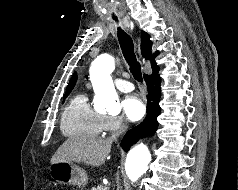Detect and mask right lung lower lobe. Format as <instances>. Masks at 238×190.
<instances>
[{
    "instance_id": "right-lung-lower-lobe-1",
    "label": "right lung lower lobe",
    "mask_w": 238,
    "mask_h": 190,
    "mask_svg": "<svg viewBox=\"0 0 238 190\" xmlns=\"http://www.w3.org/2000/svg\"><path fill=\"white\" fill-rule=\"evenodd\" d=\"M158 70L154 71L151 75H144L148 87L147 96V116L138 126L129 130L121 141V147L127 151L134 143L140 138L153 135L157 129V117L160 114V77Z\"/></svg>"
}]
</instances>
